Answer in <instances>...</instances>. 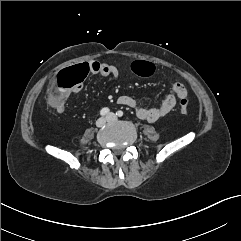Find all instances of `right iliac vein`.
I'll list each match as a JSON object with an SVG mask.
<instances>
[{"mask_svg":"<svg viewBox=\"0 0 241 241\" xmlns=\"http://www.w3.org/2000/svg\"><path fill=\"white\" fill-rule=\"evenodd\" d=\"M107 121H108L107 118L101 117L96 121V126L97 127H103L106 124Z\"/></svg>","mask_w":241,"mask_h":241,"instance_id":"1","label":"right iliac vein"}]
</instances>
